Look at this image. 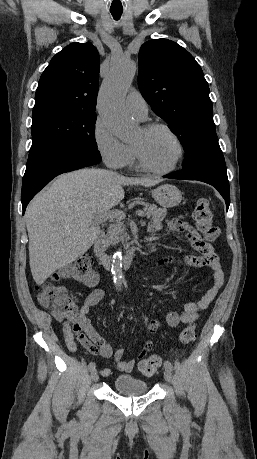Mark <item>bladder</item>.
Wrapping results in <instances>:
<instances>
[{"label":"bladder","mask_w":257,"mask_h":459,"mask_svg":"<svg viewBox=\"0 0 257 459\" xmlns=\"http://www.w3.org/2000/svg\"><path fill=\"white\" fill-rule=\"evenodd\" d=\"M113 390L127 396L142 395L148 392V385L132 375L121 374L114 379Z\"/></svg>","instance_id":"obj_1"}]
</instances>
